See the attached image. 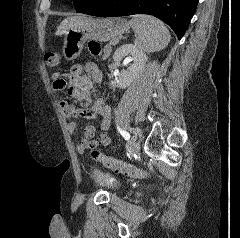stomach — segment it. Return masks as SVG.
I'll use <instances>...</instances> for the list:
<instances>
[{"label":"stomach","mask_w":240,"mask_h":238,"mask_svg":"<svg viewBox=\"0 0 240 238\" xmlns=\"http://www.w3.org/2000/svg\"><path fill=\"white\" fill-rule=\"evenodd\" d=\"M129 27L123 18H87L79 27L66 31L62 54L66 60H74L81 54L86 41H109L127 32Z\"/></svg>","instance_id":"1"}]
</instances>
